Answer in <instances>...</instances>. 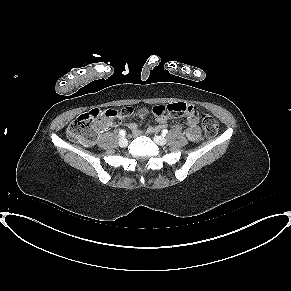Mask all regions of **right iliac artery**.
I'll list each match as a JSON object with an SVG mask.
<instances>
[{
    "mask_svg": "<svg viewBox=\"0 0 291 291\" xmlns=\"http://www.w3.org/2000/svg\"><path fill=\"white\" fill-rule=\"evenodd\" d=\"M119 134H120L121 136H125L126 132H125L124 130H120V131H119Z\"/></svg>",
    "mask_w": 291,
    "mask_h": 291,
    "instance_id": "obj_1",
    "label": "right iliac artery"
}]
</instances>
